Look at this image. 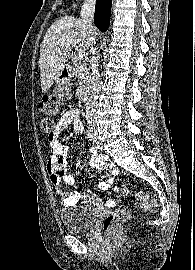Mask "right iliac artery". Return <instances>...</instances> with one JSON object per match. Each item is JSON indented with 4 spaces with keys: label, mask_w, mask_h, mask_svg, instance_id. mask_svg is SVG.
I'll list each match as a JSON object with an SVG mask.
<instances>
[{
    "label": "right iliac artery",
    "mask_w": 195,
    "mask_h": 270,
    "mask_svg": "<svg viewBox=\"0 0 195 270\" xmlns=\"http://www.w3.org/2000/svg\"><path fill=\"white\" fill-rule=\"evenodd\" d=\"M87 136H88V139H89L90 141H92V140H93V133H92V131H91V130H89V131H88Z\"/></svg>",
    "instance_id": "obj_1"
}]
</instances>
